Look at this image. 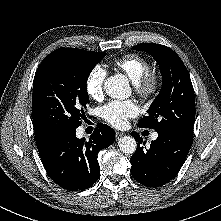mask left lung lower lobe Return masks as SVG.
<instances>
[{
	"label": "left lung lower lobe",
	"instance_id": "left-lung-lower-lobe-1",
	"mask_svg": "<svg viewBox=\"0 0 221 221\" xmlns=\"http://www.w3.org/2000/svg\"><path fill=\"white\" fill-rule=\"evenodd\" d=\"M158 137L146 149L143 139L132 132L138 147L131 157V173L135 180L148 187H158L172 180L181 169L193 139L178 131H157Z\"/></svg>",
	"mask_w": 221,
	"mask_h": 221
}]
</instances>
